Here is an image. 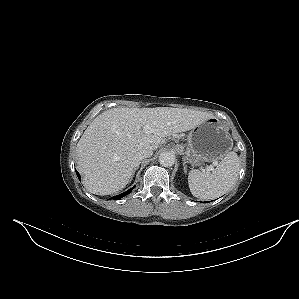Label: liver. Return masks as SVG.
Returning <instances> with one entry per match:
<instances>
[{
	"label": "liver",
	"instance_id": "1",
	"mask_svg": "<svg viewBox=\"0 0 299 299\" xmlns=\"http://www.w3.org/2000/svg\"><path fill=\"white\" fill-rule=\"evenodd\" d=\"M213 117L208 112L170 107L104 111L87 127L76 148L85 188L97 195L123 189L134 175L136 152L156 150L163 138L189 131ZM146 126L153 132L146 133Z\"/></svg>",
	"mask_w": 299,
	"mask_h": 299
}]
</instances>
